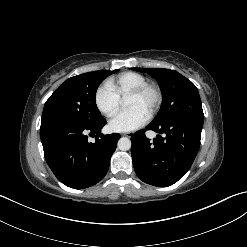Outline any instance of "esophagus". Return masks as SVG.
<instances>
[{
    "instance_id": "34e87169",
    "label": "esophagus",
    "mask_w": 247,
    "mask_h": 247,
    "mask_svg": "<svg viewBox=\"0 0 247 247\" xmlns=\"http://www.w3.org/2000/svg\"><path fill=\"white\" fill-rule=\"evenodd\" d=\"M123 136L131 137L132 134L131 133H124Z\"/></svg>"
}]
</instances>
